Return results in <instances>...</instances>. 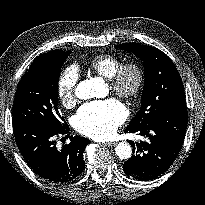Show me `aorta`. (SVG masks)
Returning <instances> with one entry per match:
<instances>
[{
  "label": "aorta",
  "mask_w": 205,
  "mask_h": 205,
  "mask_svg": "<svg viewBox=\"0 0 205 205\" xmlns=\"http://www.w3.org/2000/svg\"><path fill=\"white\" fill-rule=\"evenodd\" d=\"M105 89L101 78H92L81 81L75 88V95L81 100L100 96ZM115 154L121 160H127L132 155V148L128 143H119L115 148Z\"/></svg>",
  "instance_id": "1"
}]
</instances>
